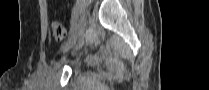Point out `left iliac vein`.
Here are the masks:
<instances>
[{
	"label": "left iliac vein",
	"instance_id": "left-iliac-vein-1",
	"mask_svg": "<svg viewBox=\"0 0 209 90\" xmlns=\"http://www.w3.org/2000/svg\"><path fill=\"white\" fill-rule=\"evenodd\" d=\"M89 17V12H85L79 21L76 22V29H73V36H71L61 47L63 53H67L70 49H72L76 45V39H80L82 34L86 32V20ZM83 26L82 28L80 26ZM82 44H80L81 46Z\"/></svg>",
	"mask_w": 209,
	"mask_h": 90
}]
</instances>
